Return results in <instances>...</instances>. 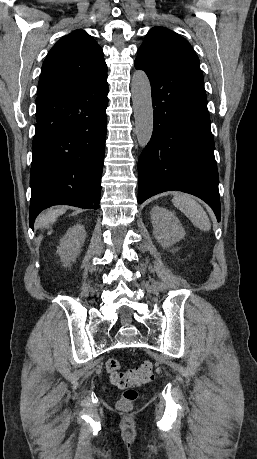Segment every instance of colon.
<instances>
[{
  "label": "colon",
  "instance_id": "5ec220e1",
  "mask_svg": "<svg viewBox=\"0 0 257 459\" xmlns=\"http://www.w3.org/2000/svg\"><path fill=\"white\" fill-rule=\"evenodd\" d=\"M106 370L112 384L124 390L123 395L117 401V408L122 411H129L132 408L138 396L136 387L151 381L154 377L153 364L150 361L120 372V362L115 358H110L106 362Z\"/></svg>",
  "mask_w": 257,
  "mask_h": 459
}]
</instances>
